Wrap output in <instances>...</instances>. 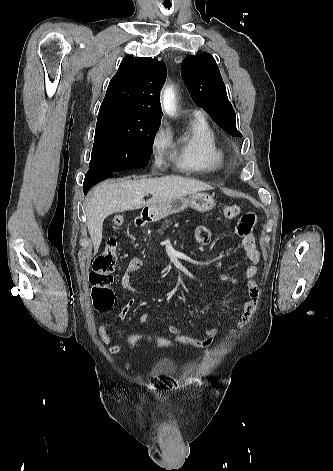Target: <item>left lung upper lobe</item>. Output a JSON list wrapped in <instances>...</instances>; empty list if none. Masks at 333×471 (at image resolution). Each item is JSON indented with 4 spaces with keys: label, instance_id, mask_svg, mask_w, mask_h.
<instances>
[{
    "label": "left lung upper lobe",
    "instance_id": "obj_1",
    "mask_svg": "<svg viewBox=\"0 0 333 471\" xmlns=\"http://www.w3.org/2000/svg\"><path fill=\"white\" fill-rule=\"evenodd\" d=\"M181 75L195 104L227 133L242 136L236 129V114L213 56L209 53L187 56Z\"/></svg>",
    "mask_w": 333,
    "mask_h": 471
}]
</instances>
